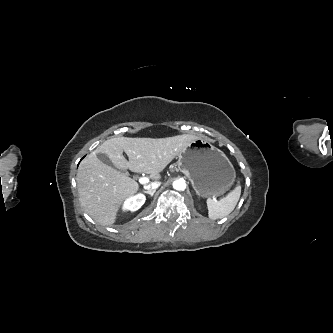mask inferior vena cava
I'll return each mask as SVG.
<instances>
[{"mask_svg":"<svg viewBox=\"0 0 333 333\" xmlns=\"http://www.w3.org/2000/svg\"><path fill=\"white\" fill-rule=\"evenodd\" d=\"M160 185H161V183L159 181H154V182H151L148 185H145L144 189H146L148 191H150V190H156Z\"/></svg>","mask_w":333,"mask_h":333,"instance_id":"inferior-vena-cava-1","label":"inferior vena cava"}]
</instances>
